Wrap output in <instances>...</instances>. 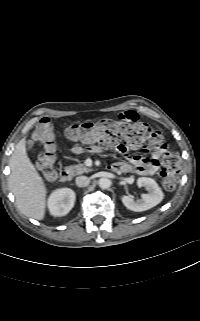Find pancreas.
I'll return each instance as SVG.
<instances>
[{
    "label": "pancreas",
    "mask_w": 200,
    "mask_h": 321,
    "mask_svg": "<svg viewBox=\"0 0 200 321\" xmlns=\"http://www.w3.org/2000/svg\"><path fill=\"white\" fill-rule=\"evenodd\" d=\"M69 169L75 174V175H80L83 173H88L92 169L88 168L85 164L79 163L74 166H70Z\"/></svg>",
    "instance_id": "obj_1"
}]
</instances>
